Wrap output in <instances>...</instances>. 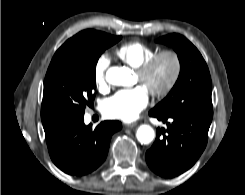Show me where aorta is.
I'll return each mask as SVG.
<instances>
[{"mask_svg": "<svg viewBox=\"0 0 245 195\" xmlns=\"http://www.w3.org/2000/svg\"><path fill=\"white\" fill-rule=\"evenodd\" d=\"M106 81L115 86H129L131 84L130 71L125 67H110L106 72ZM136 137L141 144H149L155 137L154 129L150 125H140Z\"/></svg>", "mask_w": 245, "mask_h": 195, "instance_id": "obj_1", "label": "aorta"}]
</instances>
